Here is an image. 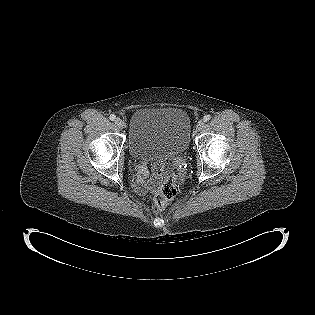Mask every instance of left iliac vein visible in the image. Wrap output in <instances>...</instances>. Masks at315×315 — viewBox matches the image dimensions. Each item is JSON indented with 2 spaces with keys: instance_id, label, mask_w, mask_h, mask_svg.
<instances>
[{
  "instance_id": "obj_1",
  "label": "left iliac vein",
  "mask_w": 315,
  "mask_h": 315,
  "mask_svg": "<svg viewBox=\"0 0 315 315\" xmlns=\"http://www.w3.org/2000/svg\"><path fill=\"white\" fill-rule=\"evenodd\" d=\"M204 124H205V123H204L203 120L198 121V123L196 124V130H197V131L202 130L203 127H204Z\"/></svg>"
}]
</instances>
